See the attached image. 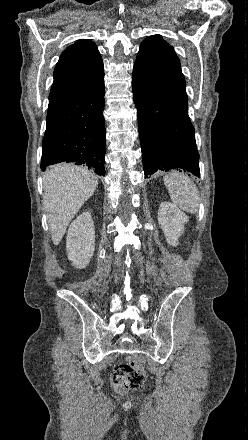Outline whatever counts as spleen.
I'll use <instances>...</instances> for the list:
<instances>
[{"label": "spleen", "mask_w": 248, "mask_h": 440, "mask_svg": "<svg viewBox=\"0 0 248 440\" xmlns=\"http://www.w3.org/2000/svg\"><path fill=\"white\" fill-rule=\"evenodd\" d=\"M172 202L182 210L197 213L199 208V191L194 182L186 175L172 172L164 177Z\"/></svg>", "instance_id": "spleen-1"}]
</instances>
